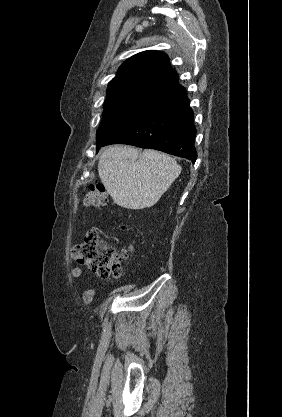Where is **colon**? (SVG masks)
I'll return each mask as SVG.
<instances>
[{"label":"colon","mask_w":282,"mask_h":417,"mask_svg":"<svg viewBox=\"0 0 282 417\" xmlns=\"http://www.w3.org/2000/svg\"><path fill=\"white\" fill-rule=\"evenodd\" d=\"M83 203L91 208L105 206V187L90 186ZM120 228L125 230L127 225L122 223ZM72 255L75 262L100 276L119 278L129 265L127 251L116 252L97 231L88 232L85 239L74 246Z\"/></svg>","instance_id":"5ec220e1"}]
</instances>
